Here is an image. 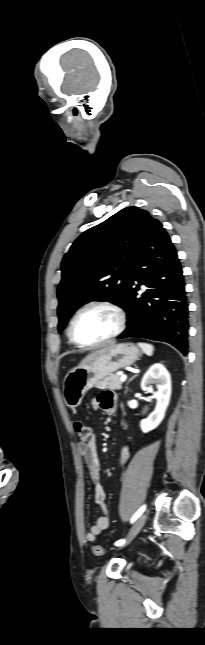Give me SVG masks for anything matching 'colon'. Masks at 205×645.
<instances>
[{
    "label": "colon",
    "mask_w": 205,
    "mask_h": 645,
    "mask_svg": "<svg viewBox=\"0 0 205 645\" xmlns=\"http://www.w3.org/2000/svg\"><path fill=\"white\" fill-rule=\"evenodd\" d=\"M73 429L82 442L86 443L91 439V436H92L91 429L83 421L81 420L74 421ZM92 552L97 556H101L106 552V548L103 546L94 545L92 547Z\"/></svg>",
    "instance_id": "colon-1"
}]
</instances>
